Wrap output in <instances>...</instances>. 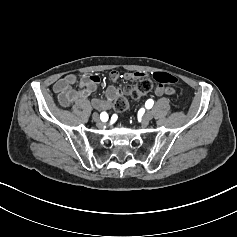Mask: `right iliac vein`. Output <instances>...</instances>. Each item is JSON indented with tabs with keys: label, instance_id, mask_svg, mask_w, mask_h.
<instances>
[{
	"label": "right iliac vein",
	"instance_id": "right-iliac-vein-1",
	"mask_svg": "<svg viewBox=\"0 0 237 237\" xmlns=\"http://www.w3.org/2000/svg\"><path fill=\"white\" fill-rule=\"evenodd\" d=\"M92 118L99 126L101 125V120H100L99 115L97 113H94L92 115Z\"/></svg>",
	"mask_w": 237,
	"mask_h": 237
}]
</instances>
